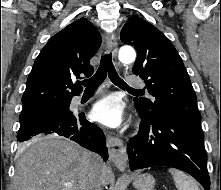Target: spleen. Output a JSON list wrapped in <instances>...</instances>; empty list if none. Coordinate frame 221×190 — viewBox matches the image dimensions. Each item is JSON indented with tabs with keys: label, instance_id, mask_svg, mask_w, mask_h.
Wrapping results in <instances>:
<instances>
[{
	"label": "spleen",
	"instance_id": "1",
	"mask_svg": "<svg viewBox=\"0 0 221 190\" xmlns=\"http://www.w3.org/2000/svg\"><path fill=\"white\" fill-rule=\"evenodd\" d=\"M178 190H200L196 182L177 169H169Z\"/></svg>",
	"mask_w": 221,
	"mask_h": 190
}]
</instances>
